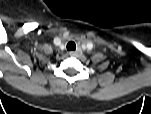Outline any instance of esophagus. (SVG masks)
Masks as SVG:
<instances>
[{"instance_id": "34e87169", "label": "esophagus", "mask_w": 151, "mask_h": 114, "mask_svg": "<svg viewBox=\"0 0 151 114\" xmlns=\"http://www.w3.org/2000/svg\"><path fill=\"white\" fill-rule=\"evenodd\" d=\"M71 56H79V55H81L82 54V52H81V50H76V51H71L70 53H69Z\"/></svg>"}]
</instances>
